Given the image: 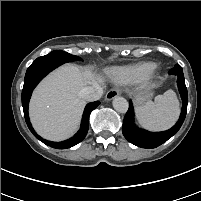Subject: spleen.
<instances>
[{
  "label": "spleen",
  "mask_w": 201,
  "mask_h": 201,
  "mask_svg": "<svg viewBox=\"0 0 201 201\" xmlns=\"http://www.w3.org/2000/svg\"><path fill=\"white\" fill-rule=\"evenodd\" d=\"M179 101L173 90H167L163 95L155 97L143 106L136 107L138 122L146 129L162 131L169 129L178 119Z\"/></svg>",
  "instance_id": "spleen-1"
}]
</instances>
